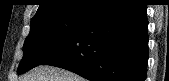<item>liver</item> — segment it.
I'll return each instance as SVG.
<instances>
[{
	"label": "liver",
	"mask_w": 169,
	"mask_h": 81,
	"mask_svg": "<svg viewBox=\"0 0 169 81\" xmlns=\"http://www.w3.org/2000/svg\"><path fill=\"white\" fill-rule=\"evenodd\" d=\"M20 81H83V78L57 67L38 66L24 75Z\"/></svg>",
	"instance_id": "1"
}]
</instances>
